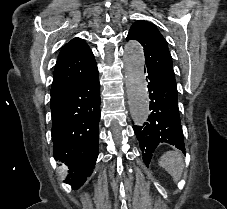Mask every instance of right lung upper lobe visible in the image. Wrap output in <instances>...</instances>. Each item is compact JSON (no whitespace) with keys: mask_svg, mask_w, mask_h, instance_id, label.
<instances>
[{"mask_svg":"<svg viewBox=\"0 0 227 209\" xmlns=\"http://www.w3.org/2000/svg\"><path fill=\"white\" fill-rule=\"evenodd\" d=\"M95 63L94 55L83 39L74 38L65 44L59 53L53 76L51 99L57 98L81 81L86 70L72 76L64 71L70 66L90 67Z\"/></svg>","mask_w":227,"mask_h":209,"instance_id":"right-lung-upper-lobe-1","label":"right lung upper lobe"}]
</instances>
